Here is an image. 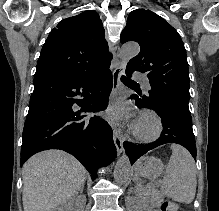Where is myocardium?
<instances>
[{
  "instance_id": "myocardium-1",
  "label": "myocardium",
  "mask_w": 219,
  "mask_h": 211,
  "mask_svg": "<svg viewBox=\"0 0 219 211\" xmlns=\"http://www.w3.org/2000/svg\"><path fill=\"white\" fill-rule=\"evenodd\" d=\"M162 126V117L155 111H147L139 117L134 127V135L140 140L151 141L159 135Z\"/></svg>"
}]
</instances>
